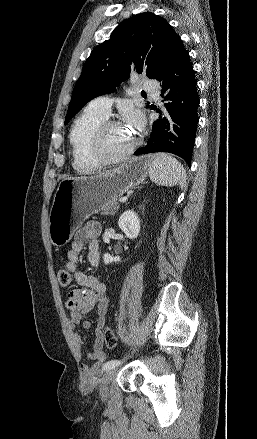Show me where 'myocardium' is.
Listing matches in <instances>:
<instances>
[{"label":"myocardium","instance_id":"f54148a6","mask_svg":"<svg viewBox=\"0 0 257 439\" xmlns=\"http://www.w3.org/2000/svg\"><path fill=\"white\" fill-rule=\"evenodd\" d=\"M119 124H121V122L116 120H105L96 128L92 137L91 146L92 152L99 163H115L122 161L129 157L140 143V138H136V140L122 152L113 156L108 155L104 148L105 132L108 128Z\"/></svg>","mask_w":257,"mask_h":439}]
</instances>
